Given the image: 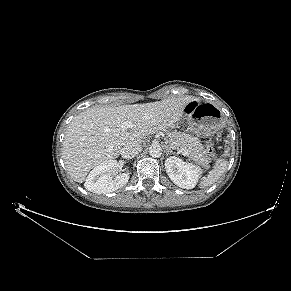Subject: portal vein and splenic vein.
Instances as JSON below:
<instances>
[{
  "instance_id": "18ae733b",
  "label": "portal vein and splenic vein",
  "mask_w": 291,
  "mask_h": 291,
  "mask_svg": "<svg viewBox=\"0 0 291 291\" xmlns=\"http://www.w3.org/2000/svg\"><path fill=\"white\" fill-rule=\"evenodd\" d=\"M131 127H133V124H132L131 121H124L121 124V128L122 129H128V128H131ZM179 152H181V154L184 155V156H188V152L185 149H181Z\"/></svg>"
}]
</instances>
